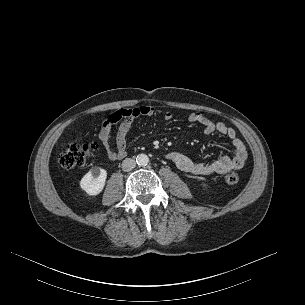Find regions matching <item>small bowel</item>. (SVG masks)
<instances>
[{"mask_svg": "<svg viewBox=\"0 0 305 305\" xmlns=\"http://www.w3.org/2000/svg\"><path fill=\"white\" fill-rule=\"evenodd\" d=\"M155 110L148 105H141L135 108L119 109L113 112L104 121L99 132V139L105 149L106 155L111 160L122 159L126 156V137L132 128L135 119L139 117H153ZM164 121L168 122L173 118L170 111L165 112ZM191 123H199L203 126L205 135L219 133L232 143L230 155L223 156L209 163L194 162L182 152H169L166 158L181 172L193 176H208L213 174H224L232 170L240 169L247 158V151L243 141L237 136L236 131L223 122L215 123L200 112H192L187 117ZM118 123L115 133L114 145L112 144V126Z\"/></svg>", "mask_w": 305, "mask_h": 305, "instance_id": "1", "label": "small bowel"}]
</instances>
